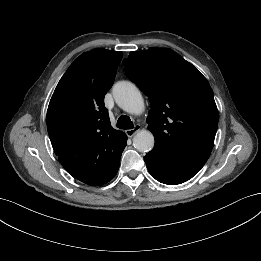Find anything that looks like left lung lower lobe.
<instances>
[{"mask_svg": "<svg viewBox=\"0 0 261 261\" xmlns=\"http://www.w3.org/2000/svg\"><path fill=\"white\" fill-rule=\"evenodd\" d=\"M144 160L150 174L157 181L168 185L189 180L206 162L176 159L153 149L146 154Z\"/></svg>", "mask_w": 261, "mask_h": 261, "instance_id": "1", "label": "left lung lower lobe"}]
</instances>
